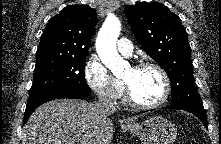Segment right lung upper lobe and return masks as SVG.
<instances>
[{
  "instance_id": "1",
  "label": "right lung upper lobe",
  "mask_w": 221,
  "mask_h": 144,
  "mask_svg": "<svg viewBox=\"0 0 221 144\" xmlns=\"http://www.w3.org/2000/svg\"><path fill=\"white\" fill-rule=\"evenodd\" d=\"M96 25V10L88 5H71L50 18L36 55H87Z\"/></svg>"
}]
</instances>
